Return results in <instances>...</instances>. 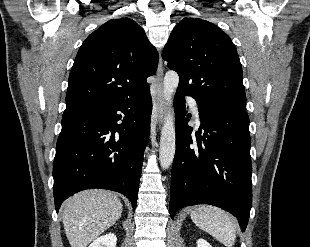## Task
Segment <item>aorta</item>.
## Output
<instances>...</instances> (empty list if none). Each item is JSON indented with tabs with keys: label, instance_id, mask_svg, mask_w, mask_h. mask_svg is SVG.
<instances>
[{
	"label": "aorta",
	"instance_id": "obj_1",
	"mask_svg": "<svg viewBox=\"0 0 310 247\" xmlns=\"http://www.w3.org/2000/svg\"><path fill=\"white\" fill-rule=\"evenodd\" d=\"M179 84V76L174 71H168L165 74L163 81V94L166 104L170 105L172 96ZM176 133L173 116L168 111L165 116L164 125L161 131L160 148H159V162L162 169H168L174 159L176 150Z\"/></svg>",
	"mask_w": 310,
	"mask_h": 247
}]
</instances>
